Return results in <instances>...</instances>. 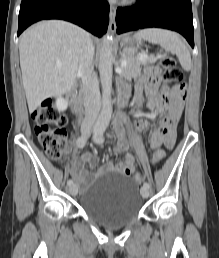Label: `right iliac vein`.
Wrapping results in <instances>:
<instances>
[{
    "mask_svg": "<svg viewBox=\"0 0 219 258\" xmlns=\"http://www.w3.org/2000/svg\"><path fill=\"white\" fill-rule=\"evenodd\" d=\"M69 192L71 195L75 196L78 193V187L76 185H71L69 187Z\"/></svg>",
    "mask_w": 219,
    "mask_h": 258,
    "instance_id": "1",
    "label": "right iliac vein"
}]
</instances>
